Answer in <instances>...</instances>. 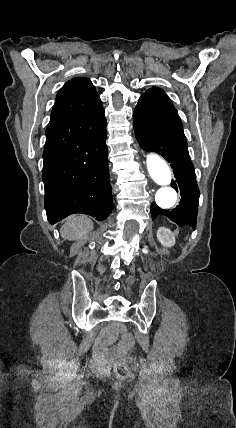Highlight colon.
<instances>
[{"mask_svg": "<svg viewBox=\"0 0 236 428\" xmlns=\"http://www.w3.org/2000/svg\"><path fill=\"white\" fill-rule=\"evenodd\" d=\"M122 343H123L124 350L127 352L134 348L135 339L132 334L128 333L124 335ZM114 373L116 377L119 379H126L129 377L130 370L127 363L124 361V359L121 358L115 363Z\"/></svg>", "mask_w": 236, "mask_h": 428, "instance_id": "5ec220e1", "label": "colon"}]
</instances>
